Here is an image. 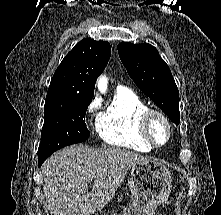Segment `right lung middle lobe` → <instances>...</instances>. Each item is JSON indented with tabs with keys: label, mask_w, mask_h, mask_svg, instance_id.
I'll list each match as a JSON object with an SVG mask.
<instances>
[{
	"label": "right lung middle lobe",
	"mask_w": 221,
	"mask_h": 215,
	"mask_svg": "<svg viewBox=\"0 0 221 215\" xmlns=\"http://www.w3.org/2000/svg\"><path fill=\"white\" fill-rule=\"evenodd\" d=\"M91 101H60L44 106V125L38 158L49 157L65 146L85 141L90 132L84 121Z\"/></svg>",
	"instance_id": "obj_1"
}]
</instances>
